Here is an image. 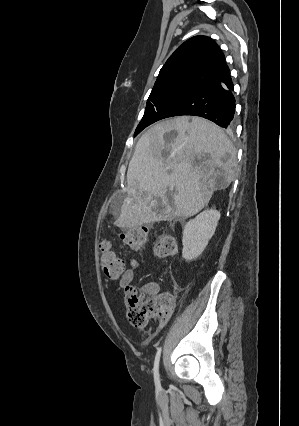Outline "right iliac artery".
<instances>
[{"label": "right iliac artery", "instance_id": "right-iliac-artery-1", "mask_svg": "<svg viewBox=\"0 0 299 426\" xmlns=\"http://www.w3.org/2000/svg\"><path fill=\"white\" fill-rule=\"evenodd\" d=\"M160 356H161V347L158 348V351L156 353L155 361H154V368H153L154 382H155V386H156L157 390L161 389L160 378H159V361H160Z\"/></svg>", "mask_w": 299, "mask_h": 426}]
</instances>
